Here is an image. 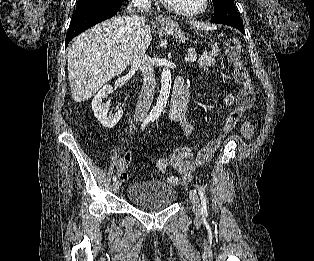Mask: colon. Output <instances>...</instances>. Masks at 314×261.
Wrapping results in <instances>:
<instances>
[{
    "label": "colon",
    "instance_id": "obj_1",
    "mask_svg": "<svg viewBox=\"0 0 314 261\" xmlns=\"http://www.w3.org/2000/svg\"><path fill=\"white\" fill-rule=\"evenodd\" d=\"M241 46L237 40L227 41V59L233 67V76L241 89L237 94L236 107L230 112L222 133L218 139H215L201 148L194 160L193 165L199 166L208 163L217 150L220 139L229 133L239 122L242 121L244 113L252 108L255 102V93L252 85V78L249 70L244 65L240 57Z\"/></svg>",
    "mask_w": 314,
    "mask_h": 261
}]
</instances>
